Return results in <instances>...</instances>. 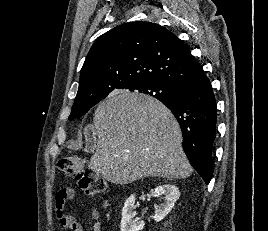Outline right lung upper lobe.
<instances>
[{"label":"right lung upper lobe","mask_w":268,"mask_h":231,"mask_svg":"<svg viewBox=\"0 0 268 231\" xmlns=\"http://www.w3.org/2000/svg\"><path fill=\"white\" fill-rule=\"evenodd\" d=\"M204 73L188 47L151 22H129L101 35L81 69L74 105L100 102L117 89L158 82L176 88Z\"/></svg>","instance_id":"right-lung-upper-lobe-1"}]
</instances>
